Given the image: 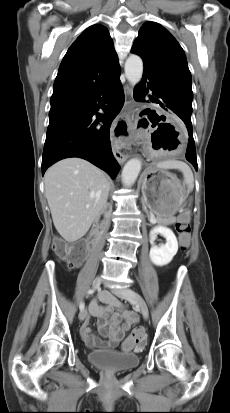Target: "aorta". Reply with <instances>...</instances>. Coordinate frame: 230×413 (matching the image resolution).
Wrapping results in <instances>:
<instances>
[{
	"instance_id": "obj_1",
	"label": "aorta",
	"mask_w": 230,
	"mask_h": 413,
	"mask_svg": "<svg viewBox=\"0 0 230 413\" xmlns=\"http://www.w3.org/2000/svg\"><path fill=\"white\" fill-rule=\"evenodd\" d=\"M124 69L125 76L132 85L140 82L143 74V61L139 56L130 55L125 62ZM141 167V160L137 158L130 159L122 170V183L128 187L132 186L141 171Z\"/></svg>"
}]
</instances>
